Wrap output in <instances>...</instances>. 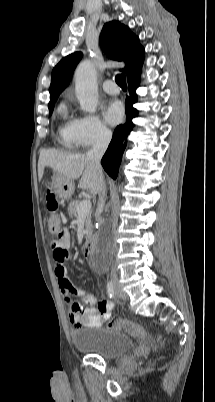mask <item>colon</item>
<instances>
[{
  "instance_id": "colon-1",
  "label": "colon",
  "mask_w": 215,
  "mask_h": 402,
  "mask_svg": "<svg viewBox=\"0 0 215 402\" xmlns=\"http://www.w3.org/2000/svg\"><path fill=\"white\" fill-rule=\"evenodd\" d=\"M58 201L54 195V193L50 190L46 192V208L48 211L47 224L48 228L52 232L59 231L60 221L58 217ZM109 327L114 330H122L132 336L144 338L145 330L142 326L133 323L129 320L123 318H115L110 321Z\"/></svg>"
}]
</instances>
